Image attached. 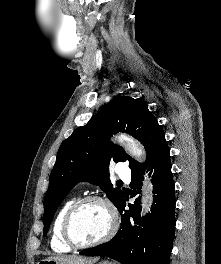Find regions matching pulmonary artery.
Instances as JSON below:
<instances>
[{
    "instance_id": "pulmonary-artery-1",
    "label": "pulmonary artery",
    "mask_w": 221,
    "mask_h": 264,
    "mask_svg": "<svg viewBox=\"0 0 221 264\" xmlns=\"http://www.w3.org/2000/svg\"><path fill=\"white\" fill-rule=\"evenodd\" d=\"M117 174H118V176L120 178H122L124 180H129L130 179V170L123 163L119 164V167H118V170H117Z\"/></svg>"
}]
</instances>
